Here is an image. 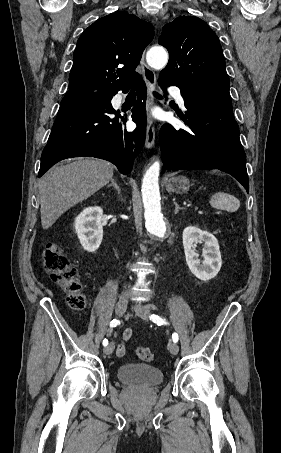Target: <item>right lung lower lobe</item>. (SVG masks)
I'll list each match as a JSON object with an SVG mask.
<instances>
[{
    "label": "right lung lower lobe",
    "instance_id": "98d812e1",
    "mask_svg": "<svg viewBox=\"0 0 281 453\" xmlns=\"http://www.w3.org/2000/svg\"><path fill=\"white\" fill-rule=\"evenodd\" d=\"M132 87L138 90V101L132 109L137 128L132 132L122 126L126 115L112 107L111 99L117 92L66 94L42 152L38 177L63 159L82 156L110 161L121 173H130L146 134V86L140 75L123 91Z\"/></svg>",
    "mask_w": 281,
    "mask_h": 453
}]
</instances>
